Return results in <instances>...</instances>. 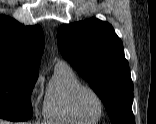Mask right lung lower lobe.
<instances>
[{"label": "right lung lower lobe", "mask_w": 156, "mask_h": 124, "mask_svg": "<svg viewBox=\"0 0 156 124\" xmlns=\"http://www.w3.org/2000/svg\"><path fill=\"white\" fill-rule=\"evenodd\" d=\"M0 118L7 119L10 121H26V120H28V119L21 118V117H15V116H10V115H3V114H0Z\"/></svg>", "instance_id": "98d812e1"}]
</instances>
